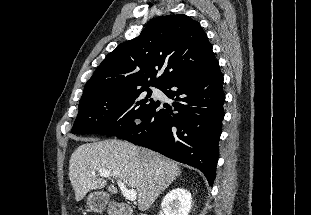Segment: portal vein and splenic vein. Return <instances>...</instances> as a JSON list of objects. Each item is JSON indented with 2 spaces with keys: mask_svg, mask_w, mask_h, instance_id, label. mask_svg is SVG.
<instances>
[{
  "mask_svg": "<svg viewBox=\"0 0 311 215\" xmlns=\"http://www.w3.org/2000/svg\"><path fill=\"white\" fill-rule=\"evenodd\" d=\"M99 175L101 177H110L111 174L108 170H99ZM118 187L120 188L123 196L129 201H135L137 198V192L134 189H128L122 181H117Z\"/></svg>",
  "mask_w": 311,
  "mask_h": 215,
  "instance_id": "18ae733b",
  "label": "portal vein and splenic vein"
}]
</instances>
